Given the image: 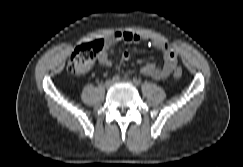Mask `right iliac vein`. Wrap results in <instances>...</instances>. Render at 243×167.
<instances>
[{"label":"right iliac vein","mask_w":243,"mask_h":167,"mask_svg":"<svg viewBox=\"0 0 243 167\" xmlns=\"http://www.w3.org/2000/svg\"><path fill=\"white\" fill-rule=\"evenodd\" d=\"M114 84V81L112 80H107L104 84V86L108 89L110 87H112V85Z\"/></svg>","instance_id":"1"}]
</instances>
